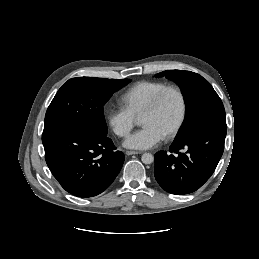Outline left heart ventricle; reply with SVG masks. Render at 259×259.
<instances>
[{"mask_svg":"<svg viewBox=\"0 0 259 259\" xmlns=\"http://www.w3.org/2000/svg\"><path fill=\"white\" fill-rule=\"evenodd\" d=\"M181 113V102L175 92H169L158 111L141 117L142 125H150L167 134L177 124Z\"/></svg>","mask_w":259,"mask_h":259,"instance_id":"1","label":"left heart ventricle"}]
</instances>
